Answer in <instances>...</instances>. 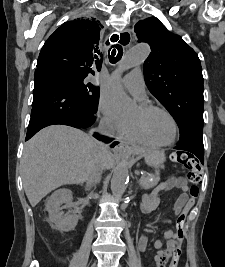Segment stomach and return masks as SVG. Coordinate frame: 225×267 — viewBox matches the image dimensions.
Segmentation results:
<instances>
[{
	"mask_svg": "<svg viewBox=\"0 0 225 267\" xmlns=\"http://www.w3.org/2000/svg\"><path fill=\"white\" fill-rule=\"evenodd\" d=\"M146 162L149 165L159 166L165 160L163 153H148L145 155Z\"/></svg>",
	"mask_w": 225,
	"mask_h": 267,
	"instance_id": "1",
	"label": "stomach"
}]
</instances>
